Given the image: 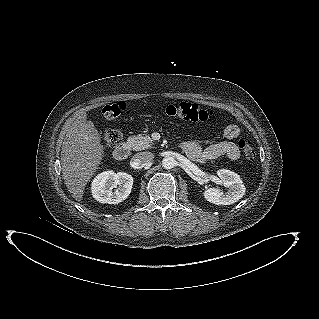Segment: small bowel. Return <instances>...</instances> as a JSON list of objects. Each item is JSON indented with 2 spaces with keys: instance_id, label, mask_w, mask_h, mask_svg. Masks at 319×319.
Wrapping results in <instances>:
<instances>
[{
  "instance_id": "obj_1",
  "label": "small bowel",
  "mask_w": 319,
  "mask_h": 319,
  "mask_svg": "<svg viewBox=\"0 0 319 319\" xmlns=\"http://www.w3.org/2000/svg\"><path fill=\"white\" fill-rule=\"evenodd\" d=\"M240 135V129L234 124L227 125L223 131L224 141L212 144L203 148L195 141L185 142L182 149L187 157L198 163H206L210 160L226 156L231 160H237L240 157V148L234 142Z\"/></svg>"
}]
</instances>
